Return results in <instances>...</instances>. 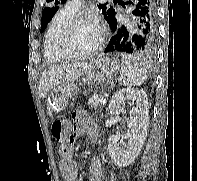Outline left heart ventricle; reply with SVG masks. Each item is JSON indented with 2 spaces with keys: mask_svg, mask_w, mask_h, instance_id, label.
Instances as JSON below:
<instances>
[{
  "mask_svg": "<svg viewBox=\"0 0 197 181\" xmlns=\"http://www.w3.org/2000/svg\"><path fill=\"white\" fill-rule=\"evenodd\" d=\"M100 31L96 23L84 22L77 25L70 34L67 46L71 52H89L98 43Z\"/></svg>",
  "mask_w": 197,
  "mask_h": 181,
  "instance_id": "1",
  "label": "left heart ventricle"
}]
</instances>
